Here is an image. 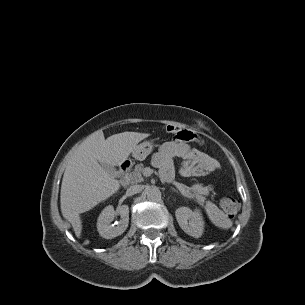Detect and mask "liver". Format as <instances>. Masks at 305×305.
Wrapping results in <instances>:
<instances>
[{
  "mask_svg": "<svg viewBox=\"0 0 305 305\" xmlns=\"http://www.w3.org/2000/svg\"><path fill=\"white\" fill-rule=\"evenodd\" d=\"M150 134L123 132L107 139L102 131L89 135L74 151L66 166L60 194L61 212L79 238L82 232L80 214L116 193L121 185L100 163L119 166L137 144Z\"/></svg>",
  "mask_w": 305,
  "mask_h": 305,
  "instance_id": "6515ba94",
  "label": "liver"
}]
</instances>
